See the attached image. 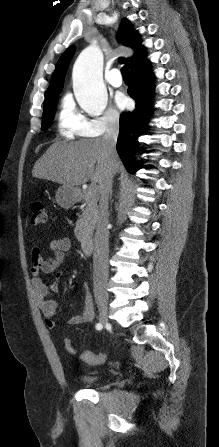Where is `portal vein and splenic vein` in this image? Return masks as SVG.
I'll use <instances>...</instances> for the list:
<instances>
[{
	"instance_id": "portal-vein-and-splenic-vein-1",
	"label": "portal vein and splenic vein",
	"mask_w": 219,
	"mask_h": 447,
	"mask_svg": "<svg viewBox=\"0 0 219 447\" xmlns=\"http://www.w3.org/2000/svg\"><path fill=\"white\" fill-rule=\"evenodd\" d=\"M88 195L93 196L97 193V188L95 185H91L87 190Z\"/></svg>"
}]
</instances>
